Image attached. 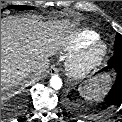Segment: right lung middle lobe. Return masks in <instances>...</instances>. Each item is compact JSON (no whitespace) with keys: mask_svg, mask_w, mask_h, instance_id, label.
<instances>
[{"mask_svg":"<svg viewBox=\"0 0 122 122\" xmlns=\"http://www.w3.org/2000/svg\"><path fill=\"white\" fill-rule=\"evenodd\" d=\"M7 8L19 9V10H32L33 9V7H31V6H8Z\"/></svg>","mask_w":122,"mask_h":122,"instance_id":"obj_1","label":"right lung middle lobe"}]
</instances>
